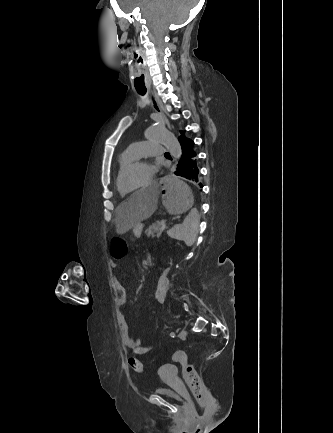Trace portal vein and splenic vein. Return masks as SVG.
<instances>
[{
    "instance_id": "1",
    "label": "portal vein and splenic vein",
    "mask_w": 333,
    "mask_h": 433,
    "mask_svg": "<svg viewBox=\"0 0 333 433\" xmlns=\"http://www.w3.org/2000/svg\"><path fill=\"white\" fill-rule=\"evenodd\" d=\"M164 229H165V226L162 227V230H164Z\"/></svg>"
}]
</instances>
